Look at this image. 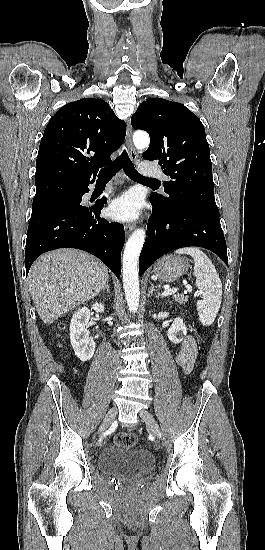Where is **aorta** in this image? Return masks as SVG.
Returning <instances> with one entry per match:
<instances>
[{"label": "aorta", "mask_w": 265, "mask_h": 550, "mask_svg": "<svg viewBox=\"0 0 265 550\" xmlns=\"http://www.w3.org/2000/svg\"><path fill=\"white\" fill-rule=\"evenodd\" d=\"M133 142L137 149L143 150L148 148L150 138L145 132H136ZM145 234L144 229H136L129 237L123 253V286L127 305L132 313L137 312L140 300L138 259L145 241Z\"/></svg>", "instance_id": "obj_1"}]
</instances>
